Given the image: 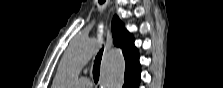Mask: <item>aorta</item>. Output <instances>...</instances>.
<instances>
[{"label": "aorta", "instance_id": "762f6f07", "mask_svg": "<svg viewBox=\"0 0 223 88\" xmlns=\"http://www.w3.org/2000/svg\"><path fill=\"white\" fill-rule=\"evenodd\" d=\"M96 51V41L91 38L74 39L64 53L59 65L56 85L58 88H72L82 68ZM125 60L118 49L108 54L101 76L103 88H122L124 84Z\"/></svg>", "mask_w": 223, "mask_h": 88}]
</instances>
